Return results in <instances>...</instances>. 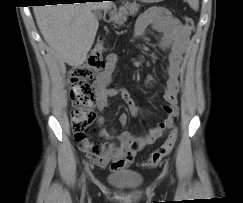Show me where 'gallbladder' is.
I'll list each match as a JSON object with an SVG mask.
<instances>
[{
    "label": "gallbladder",
    "mask_w": 243,
    "mask_h": 203,
    "mask_svg": "<svg viewBox=\"0 0 243 203\" xmlns=\"http://www.w3.org/2000/svg\"><path fill=\"white\" fill-rule=\"evenodd\" d=\"M94 15H95L96 19H98V20L102 18V13L99 10H95Z\"/></svg>",
    "instance_id": "1"
}]
</instances>
